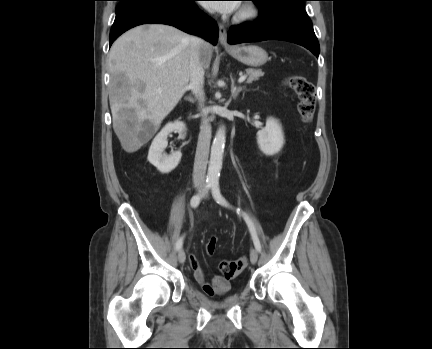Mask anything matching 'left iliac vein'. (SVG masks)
I'll return each mask as SVG.
<instances>
[{"label": "left iliac vein", "instance_id": "obj_1", "mask_svg": "<svg viewBox=\"0 0 432 349\" xmlns=\"http://www.w3.org/2000/svg\"><path fill=\"white\" fill-rule=\"evenodd\" d=\"M258 260V252L256 249L252 248L250 250V261L252 264H256Z\"/></svg>", "mask_w": 432, "mask_h": 349}]
</instances>
